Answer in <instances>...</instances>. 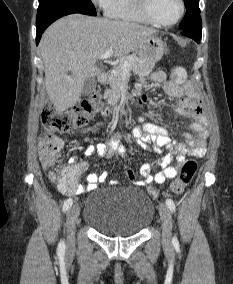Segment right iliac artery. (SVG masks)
Here are the masks:
<instances>
[{
  "mask_svg": "<svg viewBox=\"0 0 233 284\" xmlns=\"http://www.w3.org/2000/svg\"><path fill=\"white\" fill-rule=\"evenodd\" d=\"M72 203H73V201H72L71 198L66 199L65 202H64V204H63V211L66 212V211L72 206ZM58 249H59L60 252H63V251H64L65 245H64V242H63V241H61V242L59 243Z\"/></svg>",
  "mask_w": 233,
  "mask_h": 284,
  "instance_id": "82829eb1",
  "label": "right iliac artery"
}]
</instances>
